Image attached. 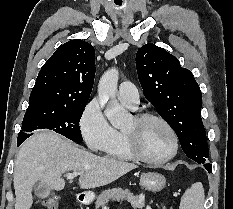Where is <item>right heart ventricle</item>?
<instances>
[{
  "label": "right heart ventricle",
  "mask_w": 233,
  "mask_h": 209,
  "mask_svg": "<svg viewBox=\"0 0 233 209\" xmlns=\"http://www.w3.org/2000/svg\"><path fill=\"white\" fill-rule=\"evenodd\" d=\"M102 151L109 158L123 161L134 160V157L130 154L127 148L123 131H116L113 142Z\"/></svg>",
  "instance_id": "obj_1"
}]
</instances>
